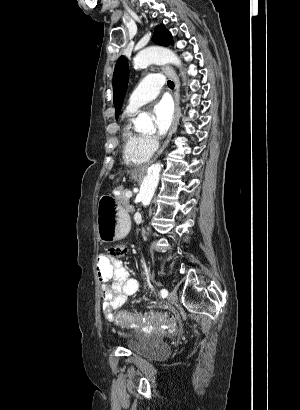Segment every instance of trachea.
Returning a JSON list of instances; mask_svg holds the SVG:
<instances>
[{
	"mask_svg": "<svg viewBox=\"0 0 300 410\" xmlns=\"http://www.w3.org/2000/svg\"><path fill=\"white\" fill-rule=\"evenodd\" d=\"M167 85L169 88L173 89L174 88V82L171 80H168Z\"/></svg>",
	"mask_w": 300,
	"mask_h": 410,
	"instance_id": "3493384b",
	"label": "trachea"
}]
</instances>
